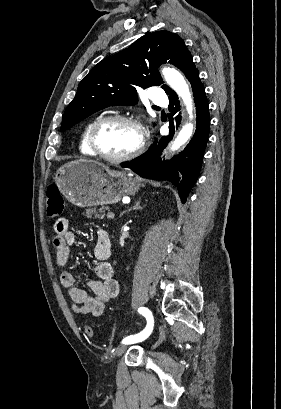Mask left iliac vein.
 Listing matches in <instances>:
<instances>
[{
  "instance_id": "obj_1",
  "label": "left iliac vein",
  "mask_w": 281,
  "mask_h": 409,
  "mask_svg": "<svg viewBox=\"0 0 281 409\" xmlns=\"http://www.w3.org/2000/svg\"><path fill=\"white\" fill-rule=\"evenodd\" d=\"M127 347H128L127 344H121V345L117 348V350H116V352H115L116 357L122 356V354L126 351Z\"/></svg>"
}]
</instances>
